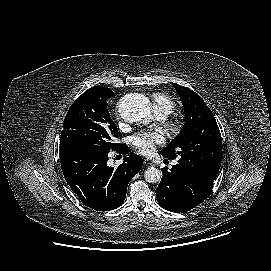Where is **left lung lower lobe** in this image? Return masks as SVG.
Listing matches in <instances>:
<instances>
[{"instance_id": "1", "label": "left lung lower lobe", "mask_w": 271, "mask_h": 271, "mask_svg": "<svg viewBox=\"0 0 271 271\" xmlns=\"http://www.w3.org/2000/svg\"><path fill=\"white\" fill-rule=\"evenodd\" d=\"M162 179L156 190L159 205L171 212H186L211 193L213 182L202 175L175 165L170 171L162 169Z\"/></svg>"}]
</instances>
